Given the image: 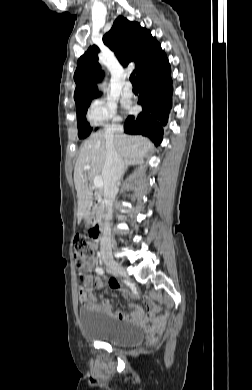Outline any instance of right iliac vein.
I'll use <instances>...</instances> for the list:
<instances>
[{"label":"right iliac vein","mask_w":252,"mask_h":390,"mask_svg":"<svg viewBox=\"0 0 252 390\" xmlns=\"http://www.w3.org/2000/svg\"><path fill=\"white\" fill-rule=\"evenodd\" d=\"M104 263L113 272L126 276V271L124 267L112 257H104Z\"/></svg>","instance_id":"63e3f726"}]
</instances>
